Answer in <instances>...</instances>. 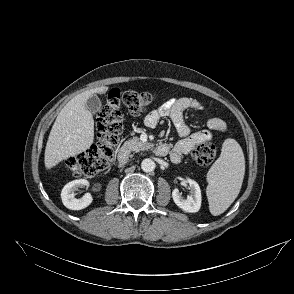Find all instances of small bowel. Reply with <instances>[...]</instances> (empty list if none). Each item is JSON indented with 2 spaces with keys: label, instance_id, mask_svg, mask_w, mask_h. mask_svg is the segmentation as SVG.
<instances>
[{
  "label": "small bowel",
  "instance_id": "small-bowel-1",
  "mask_svg": "<svg viewBox=\"0 0 294 294\" xmlns=\"http://www.w3.org/2000/svg\"><path fill=\"white\" fill-rule=\"evenodd\" d=\"M188 109L203 110V106L199 101L190 97L172 98L150 112L144 119L145 125L149 128L156 127L162 118L171 119L182 138L170 152V158L174 163H179L182 157L189 153L196 143L210 140L212 137L211 131L224 132L226 130V124L222 119L209 117L207 119L208 130L191 133L183 116Z\"/></svg>",
  "mask_w": 294,
  "mask_h": 294
}]
</instances>
